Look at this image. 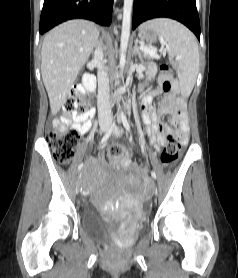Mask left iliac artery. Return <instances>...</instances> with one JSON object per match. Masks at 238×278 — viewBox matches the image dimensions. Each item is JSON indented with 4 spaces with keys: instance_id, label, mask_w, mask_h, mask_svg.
I'll list each match as a JSON object with an SVG mask.
<instances>
[{
    "instance_id": "obj_1",
    "label": "left iliac artery",
    "mask_w": 238,
    "mask_h": 278,
    "mask_svg": "<svg viewBox=\"0 0 238 278\" xmlns=\"http://www.w3.org/2000/svg\"><path fill=\"white\" fill-rule=\"evenodd\" d=\"M121 120H122L123 125H124V127L126 128V130L130 132L129 123H128V121H127L126 116H125L123 113L121 114ZM151 176H152L154 179H156V177H157V176H156V173H155L154 171H151Z\"/></svg>"
}]
</instances>
